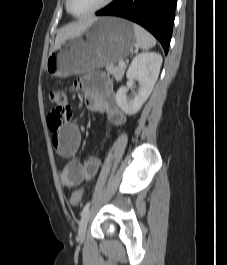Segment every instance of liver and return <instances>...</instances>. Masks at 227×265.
I'll return each instance as SVG.
<instances>
[{
  "label": "liver",
  "mask_w": 227,
  "mask_h": 265,
  "mask_svg": "<svg viewBox=\"0 0 227 265\" xmlns=\"http://www.w3.org/2000/svg\"><path fill=\"white\" fill-rule=\"evenodd\" d=\"M90 22H77L62 27L55 39V48L58 47L63 41L80 35L88 26Z\"/></svg>",
  "instance_id": "obj_1"
}]
</instances>
